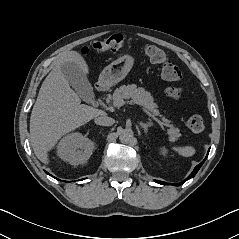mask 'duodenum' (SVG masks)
<instances>
[{
  "label": "duodenum",
  "mask_w": 239,
  "mask_h": 239,
  "mask_svg": "<svg viewBox=\"0 0 239 239\" xmlns=\"http://www.w3.org/2000/svg\"><path fill=\"white\" fill-rule=\"evenodd\" d=\"M95 90H96V93L98 94H101L104 91L101 85H96Z\"/></svg>",
  "instance_id": "duodenum-1"
}]
</instances>
